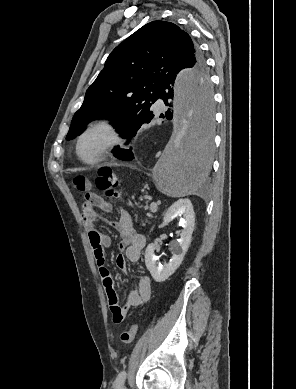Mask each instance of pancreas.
<instances>
[{"label":"pancreas","mask_w":296,"mask_h":389,"mask_svg":"<svg viewBox=\"0 0 296 389\" xmlns=\"http://www.w3.org/2000/svg\"><path fill=\"white\" fill-rule=\"evenodd\" d=\"M150 210H151L152 212H155L154 210L151 209V206H150Z\"/></svg>","instance_id":"pancreas-1"}]
</instances>
